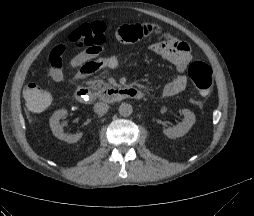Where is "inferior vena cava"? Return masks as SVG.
Returning <instances> with one entry per match:
<instances>
[{"instance_id": "inferior-vena-cava-1", "label": "inferior vena cava", "mask_w": 254, "mask_h": 216, "mask_svg": "<svg viewBox=\"0 0 254 216\" xmlns=\"http://www.w3.org/2000/svg\"><path fill=\"white\" fill-rule=\"evenodd\" d=\"M108 109H109L108 104L104 102H97L94 105V112L98 115H104L105 113H107Z\"/></svg>"}]
</instances>
